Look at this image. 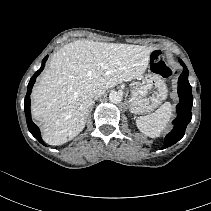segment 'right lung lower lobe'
Here are the masks:
<instances>
[{
    "label": "right lung lower lobe",
    "instance_id": "obj_1",
    "mask_svg": "<svg viewBox=\"0 0 211 211\" xmlns=\"http://www.w3.org/2000/svg\"><path fill=\"white\" fill-rule=\"evenodd\" d=\"M48 56H46L43 61H42V65L40 67V69L38 71L35 72V74L32 76V78L29 81L28 84V90H27V94L24 100V109H25V115H26V121H27V126L29 131L31 132V134L43 145L44 142L41 138V134H40V130L39 128L33 123L32 119H31V111H30V94L32 91V87L35 83L36 77L41 73V71L44 69L45 66V62L47 60Z\"/></svg>",
    "mask_w": 211,
    "mask_h": 211
}]
</instances>
